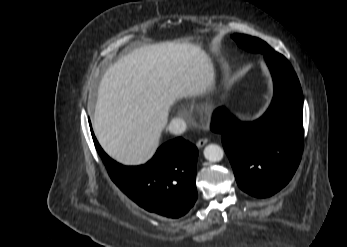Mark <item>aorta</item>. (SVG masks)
I'll return each mask as SVG.
<instances>
[{"instance_id":"obj_1","label":"aorta","mask_w":347,"mask_h":247,"mask_svg":"<svg viewBox=\"0 0 347 247\" xmlns=\"http://www.w3.org/2000/svg\"><path fill=\"white\" fill-rule=\"evenodd\" d=\"M204 157L210 162H219L223 159L224 151L217 144H209L204 149Z\"/></svg>"}]
</instances>
